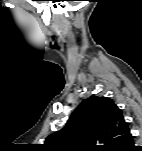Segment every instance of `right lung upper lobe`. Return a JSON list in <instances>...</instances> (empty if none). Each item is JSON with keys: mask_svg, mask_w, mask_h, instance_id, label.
I'll use <instances>...</instances> for the list:
<instances>
[{"mask_svg": "<svg viewBox=\"0 0 142 151\" xmlns=\"http://www.w3.org/2000/svg\"><path fill=\"white\" fill-rule=\"evenodd\" d=\"M132 140L128 123L112 99L91 96L73 112L64 128L49 135V151H119Z\"/></svg>", "mask_w": 142, "mask_h": 151, "instance_id": "1", "label": "right lung upper lobe"}]
</instances>
